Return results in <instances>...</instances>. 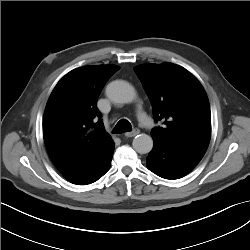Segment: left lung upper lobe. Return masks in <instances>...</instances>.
Returning <instances> with one entry per match:
<instances>
[{"label": "left lung upper lobe", "instance_id": "obj_1", "mask_svg": "<svg viewBox=\"0 0 250 250\" xmlns=\"http://www.w3.org/2000/svg\"><path fill=\"white\" fill-rule=\"evenodd\" d=\"M135 72L150 98L155 120L165 124L151 136L169 145L207 149L211 114L200 82L172 63H147L135 67Z\"/></svg>", "mask_w": 250, "mask_h": 250}]
</instances>
